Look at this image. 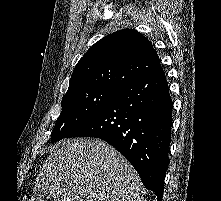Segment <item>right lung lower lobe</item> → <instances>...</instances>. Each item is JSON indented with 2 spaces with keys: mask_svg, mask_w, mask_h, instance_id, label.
Here are the masks:
<instances>
[{
  "mask_svg": "<svg viewBox=\"0 0 221 201\" xmlns=\"http://www.w3.org/2000/svg\"><path fill=\"white\" fill-rule=\"evenodd\" d=\"M173 102L161 66L121 88L66 138H100L122 153L162 201Z\"/></svg>",
  "mask_w": 221,
  "mask_h": 201,
  "instance_id": "obj_1",
  "label": "right lung lower lobe"
}]
</instances>
